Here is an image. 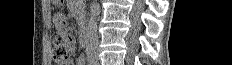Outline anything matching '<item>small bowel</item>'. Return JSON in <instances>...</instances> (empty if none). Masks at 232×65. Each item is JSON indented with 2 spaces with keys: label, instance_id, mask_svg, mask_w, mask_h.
Segmentation results:
<instances>
[{
  "label": "small bowel",
  "instance_id": "obj_1",
  "mask_svg": "<svg viewBox=\"0 0 232 65\" xmlns=\"http://www.w3.org/2000/svg\"><path fill=\"white\" fill-rule=\"evenodd\" d=\"M54 17H55V24L57 31H59V36L60 37H73L74 33L73 32H66L70 31V26L68 25V20H66V16H63V12H54ZM82 64V59H79L77 62V65ZM65 65H73L71 61L67 62Z\"/></svg>",
  "mask_w": 232,
  "mask_h": 65
}]
</instances>
